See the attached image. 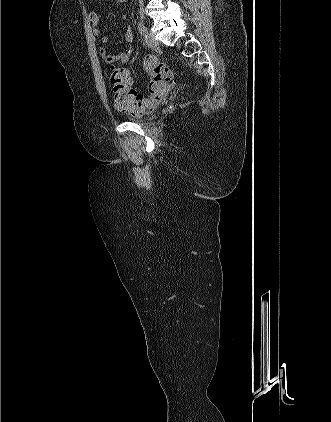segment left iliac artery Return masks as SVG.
<instances>
[{"instance_id":"44dca946","label":"left iliac artery","mask_w":331,"mask_h":422,"mask_svg":"<svg viewBox=\"0 0 331 422\" xmlns=\"http://www.w3.org/2000/svg\"><path fill=\"white\" fill-rule=\"evenodd\" d=\"M138 29H139L140 34L142 36H145V34L147 32V29H146L145 25L141 21L138 22Z\"/></svg>"}]
</instances>
